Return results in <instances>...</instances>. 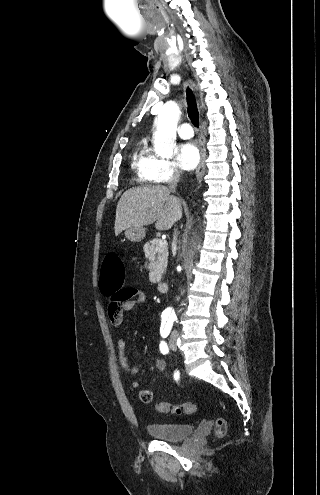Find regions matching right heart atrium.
<instances>
[{"mask_svg": "<svg viewBox=\"0 0 320 495\" xmlns=\"http://www.w3.org/2000/svg\"><path fill=\"white\" fill-rule=\"evenodd\" d=\"M179 166L169 159L153 157L151 164V178L153 182H168L180 175Z\"/></svg>", "mask_w": 320, "mask_h": 495, "instance_id": "obj_1", "label": "right heart atrium"}]
</instances>
